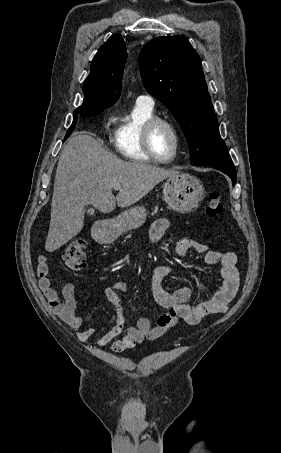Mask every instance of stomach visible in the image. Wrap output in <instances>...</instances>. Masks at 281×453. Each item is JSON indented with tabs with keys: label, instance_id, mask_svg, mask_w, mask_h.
<instances>
[{
	"label": "stomach",
	"instance_id": "0dacf381",
	"mask_svg": "<svg viewBox=\"0 0 281 453\" xmlns=\"http://www.w3.org/2000/svg\"><path fill=\"white\" fill-rule=\"evenodd\" d=\"M204 196L202 182L188 172L169 176L164 182L163 198L168 204V208L176 210V212H192L193 208L199 206ZM146 214L144 206H132V208L118 214L116 218L103 220L99 229H96L95 235L104 245L113 243L122 233L139 229L146 220Z\"/></svg>",
	"mask_w": 281,
	"mask_h": 453
}]
</instances>
